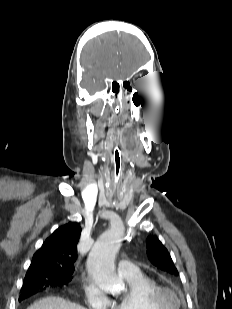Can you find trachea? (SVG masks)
Returning a JSON list of instances; mask_svg holds the SVG:
<instances>
[{"label":"trachea","mask_w":232,"mask_h":309,"mask_svg":"<svg viewBox=\"0 0 232 309\" xmlns=\"http://www.w3.org/2000/svg\"><path fill=\"white\" fill-rule=\"evenodd\" d=\"M113 166L114 188L117 189L122 178L124 166L122 153L118 145L113 146Z\"/></svg>","instance_id":"trachea-1"}]
</instances>
